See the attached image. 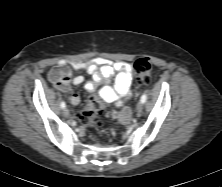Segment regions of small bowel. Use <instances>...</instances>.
<instances>
[{
  "instance_id": "1",
  "label": "small bowel",
  "mask_w": 222,
  "mask_h": 187,
  "mask_svg": "<svg viewBox=\"0 0 222 187\" xmlns=\"http://www.w3.org/2000/svg\"><path fill=\"white\" fill-rule=\"evenodd\" d=\"M71 69L85 70L92 76L90 81L85 82L82 75H73ZM115 72L116 80L113 86H103L98 91V96L105 102L114 103L122 108L119 116L124 118L128 115V110L124 104L132 97L130 89L132 75L131 66L126 62H111L105 58L97 57L87 62L67 63L59 62L48 73L49 81L56 89L62 92H69L70 103L78 105L80 96L71 88V84H84L88 92H94L98 84L105 83Z\"/></svg>"
}]
</instances>
